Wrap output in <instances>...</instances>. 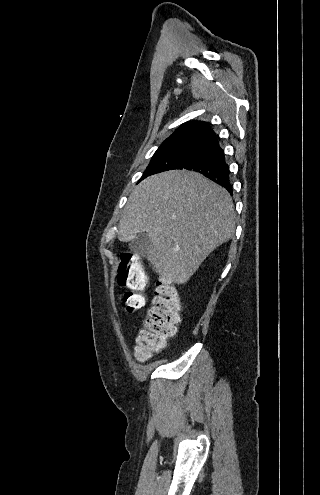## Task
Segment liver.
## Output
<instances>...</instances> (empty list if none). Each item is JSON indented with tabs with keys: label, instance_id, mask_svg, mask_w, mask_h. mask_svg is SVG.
Here are the masks:
<instances>
[{
	"label": "liver",
	"instance_id": "obj_1",
	"mask_svg": "<svg viewBox=\"0 0 320 495\" xmlns=\"http://www.w3.org/2000/svg\"><path fill=\"white\" fill-rule=\"evenodd\" d=\"M118 229L121 242L146 232L151 238L147 257L155 272L184 284L215 248L233 237L234 205L225 188L202 174L170 170L135 187Z\"/></svg>",
	"mask_w": 320,
	"mask_h": 495
}]
</instances>
